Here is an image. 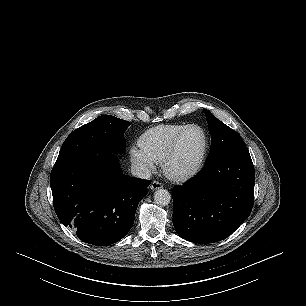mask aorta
<instances>
[{
  "mask_svg": "<svg viewBox=\"0 0 306 306\" xmlns=\"http://www.w3.org/2000/svg\"><path fill=\"white\" fill-rule=\"evenodd\" d=\"M171 200V195L166 189H158L154 193V201L160 206L168 205Z\"/></svg>",
  "mask_w": 306,
  "mask_h": 306,
  "instance_id": "762f6f07",
  "label": "aorta"
}]
</instances>
